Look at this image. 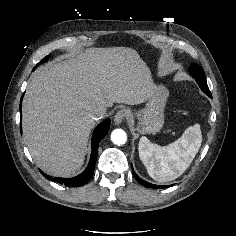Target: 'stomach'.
Masks as SVG:
<instances>
[{
	"label": "stomach",
	"instance_id": "1",
	"mask_svg": "<svg viewBox=\"0 0 236 236\" xmlns=\"http://www.w3.org/2000/svg\"><path fill=\"white\" fill-rule=\"evenodd\" d=\"M169 91L164 85H155L146 107L137 113V131L141 134H155L164 124V108Z\"/></svg>",
	"mask_w": 236,
	"mask_h": 236
}]
</instances>
